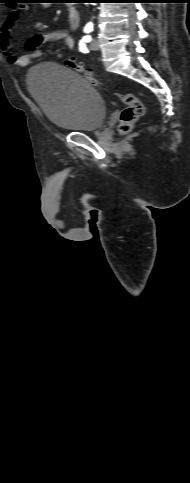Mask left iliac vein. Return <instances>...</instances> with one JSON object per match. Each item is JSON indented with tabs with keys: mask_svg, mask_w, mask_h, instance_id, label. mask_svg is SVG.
Masks as SVG:
<instances>
[{
	"mask_svg": "<svg viewBox=\"0 0 190 483\" xmlns=\"http://www.w3.org/2000/svg\"><path fill=\"white\" fill-rule=\"evenodd\" d=\"M90 49L92 50H98L99 49V44L96 39H93L90 43Z\"/></svg>",
	"mask_w": 190,
	"mask_h": 483,
	"instance_id": "1",
	"label": "left iliac vein"
}]
</instances>
